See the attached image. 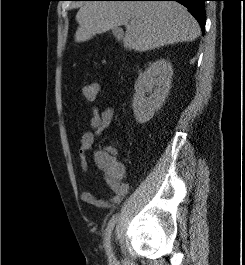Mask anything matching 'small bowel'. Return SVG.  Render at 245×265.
Returning <instances> with one entry per match:
<instances>
[{"label": "small bowel", "mask_w": 245, "mask_h": 265, "mask_svg": "<svg viewBox=\"0 0 245 265\" xmlns=\"http://www.w3.org/2000/svg\"><path fill=\"white\" fill-rule=\"evenodd\" d=\"M91 112L92 117L90 119V130L83 133L80 139L79 165L82 172H86L88 170L87 154L92 150L96 138L101 136L102 133L110 126L115 115L112 107H107L101 112H99L97 107H92ZM101 155H109L116 160L117 149L114 146L109 145L103 150H99L94 153V162L100 170L99 160ZM102 172L105 182L110 189L108 197L100 198L89 191H82L80 198L83 202L89 205L109 209L122 201L129 191V185L123 181V168L122 173L118 176L111 175L104 171Z\"/></svg>", "instance_id": "1"}]
</instances>
